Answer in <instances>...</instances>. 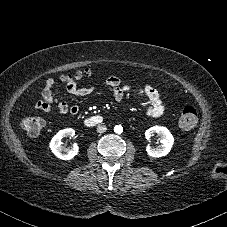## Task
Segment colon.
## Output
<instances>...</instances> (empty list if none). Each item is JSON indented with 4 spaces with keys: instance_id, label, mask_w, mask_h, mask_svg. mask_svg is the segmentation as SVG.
<instances>
[{
    "instance_id": "colon-1",
    "label": "colon",
    "mask_w": 227,
    "mask_h": 227,
    "mask_svg": "<svg viewBox=\"0 0 227 227\" xmlns=\"http://www.w3.org/2000/svg\"><path fill=\"white\" fill-rule=\"evenodd\" d=\"M90 75V70L85 69L83 71H78L72 75H65L63 77V82L68 89H71L73 86H75L76 81L87 78ZM197 120V109L193 105L188 104L183 108L179 117L178 124L182 130H190L196 125ZM21 125L27 134L37 135L42 131L45 125V121L43 118L38 116H25L21 119Z\"/></svg>"
}]
</instances>
